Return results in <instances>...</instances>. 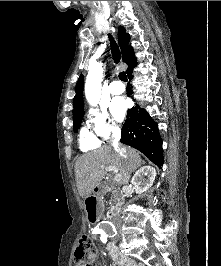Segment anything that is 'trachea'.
I'll return each instance as SVG.
<instances>
[{
  "label": "trachea",
  "mask_w": 221,
  "mask_h": 266,
  "mask_svg": "<svg viewBox=\"0 0 221 266\" xmlns=\"http://www.w3.org/2000/svg\"><path fill=\"white\" fill-rule=\"evenodd\" d=\"M108 37H109V41H110L112 57H113L114 62L117 64L120 61L121 53H120L119 47L116 44L112 35H109ZM119 79L124 81V82L127 81V75L124 71L119 73Z\"/></svg>",
  "instance_id": "obj_1"
}]
</instances>
